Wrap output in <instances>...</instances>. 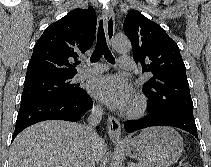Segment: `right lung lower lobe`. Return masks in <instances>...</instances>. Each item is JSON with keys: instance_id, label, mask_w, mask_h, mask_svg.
I'll return each instance as SVG.
<instances>
[{"instance_id": "1", "label": "right lung lower lobe", "mask_w": 211, "mask_h": 167, "mask_svg": "<svg viewBox=\"0 0 211 167\" xmlns=\"http://www.w3.org/2000/svg\"><path fill=\"white\" fill-rule=\"evenodd\" d=\"M91 97L83 90L71 96L22 99L12 141L25 128L45 120L79 121L92 108ZM98 129V126L96 127Z\"/></svg>"}]
</instances>
